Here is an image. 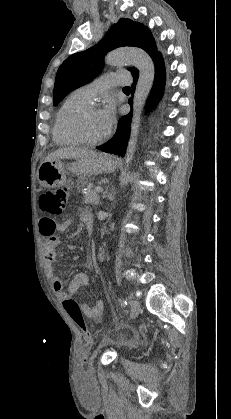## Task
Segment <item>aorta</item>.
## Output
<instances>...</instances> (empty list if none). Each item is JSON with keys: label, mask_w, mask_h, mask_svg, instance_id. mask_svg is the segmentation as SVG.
<instances>
[{"label": "aorta", "mask_w": 231, "mask_h": 419, "mask_svg": "<svg viewBox=\"0 0 231 419\" xmlns=\"http://www.w3.org/2000/svg\"><path fill=\"white\" fill-rule=\"evenodd\" d=\"M105 63L110 66L130 63L139 71L138 82L133 98V116L131 120L130 138L124 156L125 164L128 166L132 162L137 148L142 111L154 81L155 67L150 56L140 49L114 50L106 56Z\"/></svg>", "instance_id": "762f6f07"}]
</instances>
